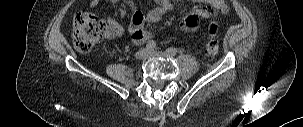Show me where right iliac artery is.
Listing matches in <instances>:
<instances>
[{
    "label": "right iliac artery",
    "mask_w": 303,
    "mask_h": 127,
    "mask_svg": "<svg viewBox=\"0 0 303 127\" xmlns=\"http://www.w3.org/2000/svg\"><path fill=\"white\" fill-rule=\"evenodd\" d=\"M146 48L147 50H154L156 48V43L154 41H149L146 44Z\"/></svg>",
    "instance_id": "right-iliac-artery-1"
}]
</instances>
